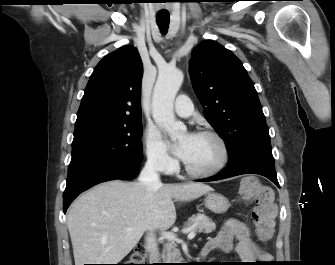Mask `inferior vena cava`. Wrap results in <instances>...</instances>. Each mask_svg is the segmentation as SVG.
<instances>
[{
	"label": "inferior vena cava",
	"instance_id": "602c4592",
	"mask_svg": "<svg viewBox=\"0 0 335 265\" xmlns=\"http://www.w3.org/2000/svg\"><path fill=\"white\" fill-rule=\"evenodd\" d=\"M157 169L155 160L148 159L138 178L139 182L147 187L150 195L153 188L162 185ZM153 230L150 228L145 238L146 249L151 257L157 256V242Z\"/></svg>",
	"mask_w": 335,
	"mask_h": 265
}]
</instances>
